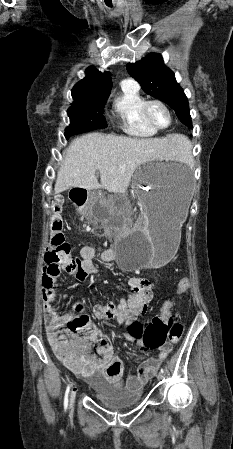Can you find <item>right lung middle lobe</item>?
<instances>
[{"label": "right lung middle lobe", "instance_id": "dd1d6c3e", "mask_svg": "<svg viewBox=\"0 0 233 449\" xmlns=\"http://www.w3.org/2000/svg\"><path fill=\"white\" fill-rule=\"evenodd\" d=\"M109 94L74 98V104L68 109L70 125L65 130V137L105 128L106 119L103 109Z\"/></svg>", "mask_w": 233, "mask_h": 449}]
</instances>
